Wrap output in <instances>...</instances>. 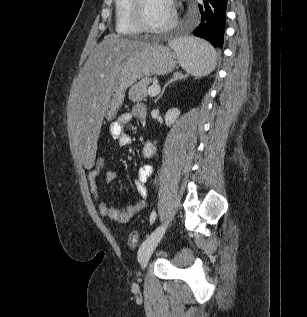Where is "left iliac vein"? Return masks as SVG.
<instances>
[{
    "label": "left iliac vein",
    "mask_w": 307,
    "mask_h": 317,
    "mask_svg": "<svg viewBox=\"0 0 307 317\" xmlns=\"http://www.w3.org/2000/svg\"><path fill=\"white\" fill-rule=\"evenodd\" d=\"M167 228V222H164L160 226H158L148 237L147 239L141 244L139 251H138V260L141 266L144 268L153 251L161 241L165 231Z\"/></svg>",
    "instance_id": "1"
}]
</instances>
